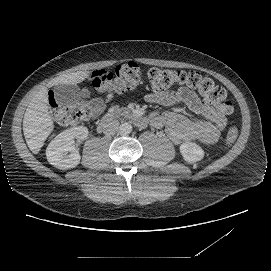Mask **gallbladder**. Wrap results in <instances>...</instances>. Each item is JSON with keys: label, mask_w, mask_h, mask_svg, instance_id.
<instances>
[{"label": "gallbladder", "mask_w": 271, "mask_h": 271, "mask_svg": "<svg viewBox=\"0 0 271 271\" xmlns=\"http://www.w3.org/2000/svg\"><path fill=\"white\" fill-rule=\"evenodd\" d=\"M54 91L58 93L56 97L58 103L69 108L77 106L82 98L80 85L72 80L66 81L62 85L55 86Z\"/></svg>", "instance_id": "gallbladder-1"}]
</instances>
